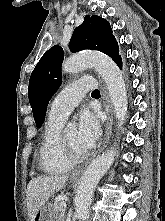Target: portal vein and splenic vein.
Returning <instances> with one entry per match:
<instances>
[{
  "mask_svg": "<svg viewBox=\"0 0 165 221\" xmlns=\"http://www.w3.org/2000/svg\"><path fill=\"white\" fill-rule=\"evenodd\" d=\"M61 206L64 208V210H66V203L61 202Z\"/></svg>",
  "mask_w": 165,
  "mask_h": 221,
  "instance_id": "obj_1",
  "label": "portal vein and splenic vein"
}]
</instances>
